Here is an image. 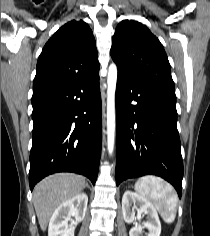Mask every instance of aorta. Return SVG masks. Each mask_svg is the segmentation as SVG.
Here are the masks:
<instances>
[{
	"mask_svg": "<svg viewBox=\"0 0 210 236\" xmlns=\"http://www.w3.org/2000/svg\"><path fill=\"white\" fill-rule=\"evenodd\" d=\"M117 83V66L112 63L109 66L107 77V140L108 151L111 154L114 148L115 138V91Z\"/></svg>",
	"mask_w": 210,
	"mask_h": 236,
	"instance_id": "aorta-1",
	"label": "aorta"
}]
</instances>
